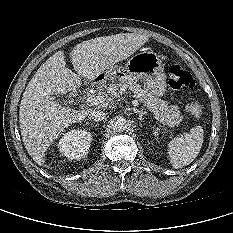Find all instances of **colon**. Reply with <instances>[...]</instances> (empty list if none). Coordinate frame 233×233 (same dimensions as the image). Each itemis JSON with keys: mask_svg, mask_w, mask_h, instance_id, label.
I'll use <instances>...</instances> for the list:
<instances>
[{"mask_svg": "<svg viewBox=\"0 0 233 233\" xmlns=\"http://www.w3.org/2000/svg\"><path fill=\"white\" fill-rule=\"evenodd\" d=\"M169 85L176 90L193 89L196 86L195 80L191 73L179 64H173L168 69ZM204 108V102L201 98H195L187 106V112L193 117H200Z\"/></svg>", "mask_w": 233, "mask_h": 233, "instance_id": "1", "label": "colon"}]
</instances>
